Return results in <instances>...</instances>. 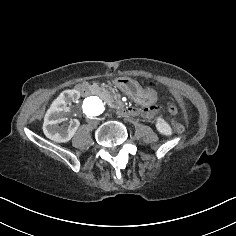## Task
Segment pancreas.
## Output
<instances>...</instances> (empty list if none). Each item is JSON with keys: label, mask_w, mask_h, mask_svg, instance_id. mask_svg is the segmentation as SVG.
Returning <instances> with one entry per match:
<instances>
[{"label": "pancreas", "mask_w": 236, "mask_h": 236, "mask_svg": "<svg viewBox=\"0 0 236 236\" xmlns=\"http://www.w3.org/2000/svg\"><path fill=\"white\" fill-rule=\"evenodd\" d=\"M97 84H99V83H97ZM96 94L100 98L104 99L105 101L110 100L112 97L110 91L107 90L103 84L98 86V91L96 92Z\"/></svg>", "instance_id": "pancreas-1"}]
</instances>
